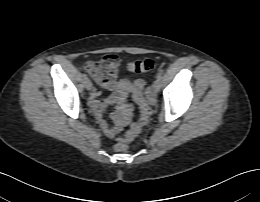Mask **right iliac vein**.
Masks as SVG:
<instances>
[{"label":"right iliac vein","instance_id":"1","mask_svg":"<svg viewBox=\"0 0 260 202\" xmlns=\"http://www.w3.org/2000/svg\"><path fill=\"white\" fill-rule=\"evenodd\" d=\"M85 87L87 90H92V82L89 79H86L85 81Z\"/></svg>","mask_w":260,"mask_h":202}]
</instances>
